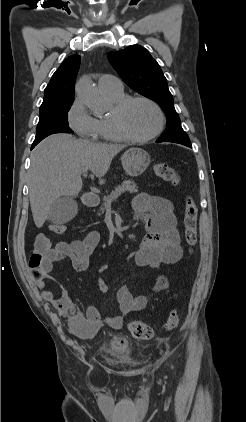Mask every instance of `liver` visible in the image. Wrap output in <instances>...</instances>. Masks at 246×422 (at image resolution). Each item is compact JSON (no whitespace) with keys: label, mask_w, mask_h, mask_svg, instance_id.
Instances as JSON below:
<instances>
[{"label":"liver","mask_w":246,"mask_h":422,"mask_svg":"<svg viewBox=\"0 0 246 422\" xmlns=\"http://www.w3.org/2000/svg\"><path fill=\"white\" fill-rule=\"evenodd\" d=\"M123 148L68 134L51 135L40 142L31 153L29 171V200L36 227L43 226L56 199L79 194L83 170H90L103 184L112 159Z\"/></svg>","instance_id":"obj_1"}]
</instances>
